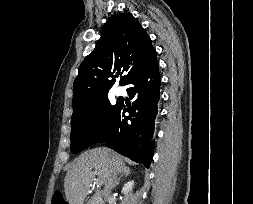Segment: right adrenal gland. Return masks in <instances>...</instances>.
Returning a JSON list of instances; mask_svg holds the SVG:
<instances>
[{"label":"right adrenal gland","instance_id":"2a0ac1e0","mask_svg":"<svg viewBox=\"0 0 253 204\" xmlns=\"http://www.w3.org/2000/svg\"><path fill=\"white\" fill-rule=\"evenodd\" d=\"M129 174H130V169L125 167L123 171L121 172V175L119 176V178L116 180L114 187H117L119 185V182L123 176H128Z\"/></svg>","mask_w":253,"mask_h":204}]
</instances>
